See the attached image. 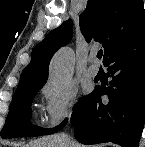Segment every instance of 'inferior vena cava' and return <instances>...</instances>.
Masks as SVG:
<instances>
[{
  "label": "inferior vena cava",
  "instance_id": "obj_1",
  "mask_svg": "<svg viewBox=\"0 0 145 147\" xmlns=\"http://www.w3.org/2000/svg\"><path fill=\"white\" fill-rule=\"evenodd\" d=\"M62 141L64 142L65 147H73V141L70 139L68 134L63 133L61 135Z\"/></svg>",
  "mask_w": 145,
  "mask_h": 147
}]
</instances>
